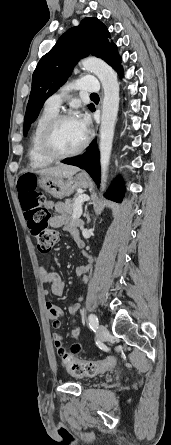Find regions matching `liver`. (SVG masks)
Masks as SVG:
<instances>
[{
    "mask_svg": "<svg viewBox=\"0 0 171 445\" xmlns=\"http://www.w3.org/2000/svg\"><path fill=\"white\" fill-rule=\"evenodd\" d=\"M78 171H79V168H77L75 166L58 165L55 167L38 170L35 173L40 174V175L68 178V177H72Z\"/></svg>",
    "mask_w": 171,
    "mask_h": 445,
    "instance_id": "1",
    "label": "liver"
}]
</instances>
